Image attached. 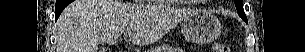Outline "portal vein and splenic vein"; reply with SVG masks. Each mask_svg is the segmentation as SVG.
Listing matches in <instances>:
<instances>
[{"instance_id": "portal-vein-and-splenic-vein-1", "label": "portal vein and splenic vein", "mask_w": 305, "mask_h": 52, "mask_svg": "<svg viewBox=\"0 0 305 52\" xmlns=\"http://www.w3.org/2000/svg\"><path fill=\"white\" fill-rule=\"evenodd\" d=\"M124 37H129V34H128V33H125V34H124Z\"/></svg>"}]
</instances>
